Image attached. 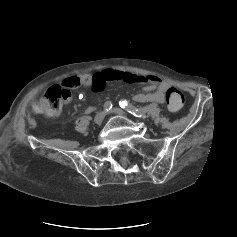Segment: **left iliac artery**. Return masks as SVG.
<instances>
[{
	"instance_id": "44dca946",
	"label": "left iliac artery",
	"mask_w": 237,
	"mask_h": 237,
	"mask_svg": "<svg viewBox=\"0 0 237 237\" xmlns=\"http://www.w3.org/2000/svg\"><path fill=\"white\" fill-rule=\"evenodd\" d=\"M119 105L121 108L125 109L127 112L133 114L136 117H144L147 112L152 111L158 106L156 103H152L149 106L143 108H136L135 106L128 104L125 100L120 101Z\"/></svg>"
}]
</instances>
